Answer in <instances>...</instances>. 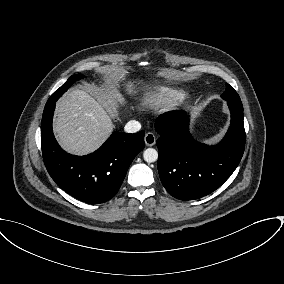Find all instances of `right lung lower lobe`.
Masks as SVG:
<instances>
[{
    "label": "right lung lower lobe",
    "mask_w": 284,
    "mask_h": 284,
    "mask_svg": "<svg viewBox=\"0 0 284 284\" xmlns=\"http://www.w3.org/2000/svg\"><path fill=\"white\" fill-rule=\"evenodd\" d=\"M45 105L41 126L44 164L56 184L87 203H104L119 190L135 156L144 149V131L113 133L94 153L74 156L58 145L52 131L55 102Z\"/></svg>",
    "instance_id": "1"
}]
</instances>
